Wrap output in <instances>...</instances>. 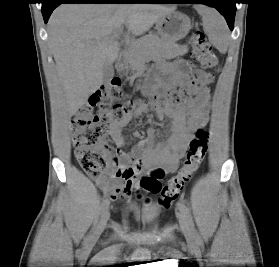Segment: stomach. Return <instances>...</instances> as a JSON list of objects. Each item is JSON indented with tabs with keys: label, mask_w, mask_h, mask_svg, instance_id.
Returning <instances> with one entry per match:
<instances>
[{
	"label": "stomach",
	"mask_w": 279,
	"mask_h": 267,
	"mask_svg": "<svg viewBox=\"0 0 279 267\" xmlns=\"http://www.w3.org/2000/svg\"><path fill=\"white\" fill-rule=\"evenodd\" d=\"M191 28V22L187 15L170 11L156 21V29L165 42L174 43L184 38Z\"/></svg>",
	"instance_id": "1"
}]
</instances>
